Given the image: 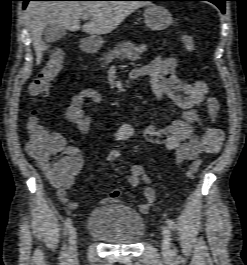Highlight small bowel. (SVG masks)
Listing matches in <instances>:
<instances>
[{
    "label": "small bowel",
    "mask_w": 247,
    "mask_h": 265,
    "mask_svg": "<svg viewBox=\"0 0 247 265\" xmlns=\"http://www.w3.org/2000/svg\"><path fill=\"white\" fill-rule=\"evenodd\" d=\"M176 69L175 58L157 56L148 64L132 70L131 77L150 79L151 89L162 105L161 117L165 111L166 100L172 101L182 109L179 119L163 126L157 123L150 124L144 131V137L149 143L173 151L176 163L181 164L195 160L203 153L219 152L224 140V132L215 125L204 128L206 120L215 121L220 111V104L207 83L201 80L186 82L178 77ZM101 99L102 96L96 89L80 90L72 97L65 110V121L76 126L82 135H88L91 116L86 111L87 105L89 102L98 103ZM201 130H203L202 133ZM134 135L135 128L129 123L121 124L114 133L116 140L119 141L128 140ZM59 136L62 138L61 135ZM63 152L70 160V171L62 180L49 178V181L55 188L60 202L73 210L78 208L79 203L71 200L68 192L83 168L84 156L81 149L76 146L64 144ZM127 180L132 187H137L141 183L146 185L143 192L145 201L138 204V210L141 213H147L156 200L155 191L149 186L151 178L142 165L134 164L130 167ZM116 202L129 203L121 199L119 188L112 189L98 201L100 205Z\"/></svg>",
    "instance_id": "c3829d8e"
}]
</instances>
